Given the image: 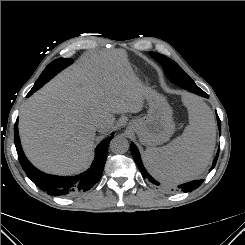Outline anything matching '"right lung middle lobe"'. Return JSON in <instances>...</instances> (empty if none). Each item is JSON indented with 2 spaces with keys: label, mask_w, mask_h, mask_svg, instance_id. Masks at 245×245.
<instances>
[{
  "label": "right lung middle lobe",
  "mask_w": 245,
  "mask_h": 245,
  "mask_svg": "<svg viewBox=\"0 0 245 245\" xmlns=\"http://www.w3.org/2000/svg\"><path fill=\"white\" fill-rule=\"evenodd\" d=\"M73 63L72 59L67 58H59L54 61H52L45 70L42 72L38 80L36 81L35 85L32 89L37 90L41 87V81H43V78L49 77L50 79L53 78L58 72L63 70L65 67L69 66Z\"/></svg>",
  "instance_id": "obj_1"
}]
</instances>
